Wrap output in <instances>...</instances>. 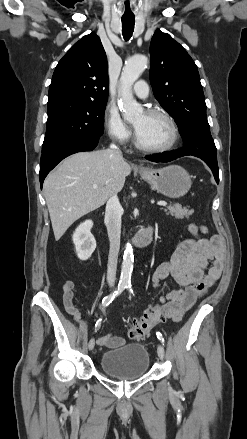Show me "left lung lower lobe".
Instances as JSON below:
<instances>
[{"label":"left lung lower lobe","mask_w":247,"mask_h":439,"mask_svg":"<svg viewBox=\"0 0 247 439\" xmlns=\"http://www.w3.org/2000/svg\"><path fill=\"white\" fill-rule=\"evenodd\" d=\"M186 155L182 150H174V151H169V152H163V153H159V154H154V155H149L146 156L145 158L147 160L153 161V162H170L173 161L179 157H182ZM213 175L215 177L216 182H219V170L215 169L213 170Z\"/></svg>","instance_id":"0a47b994"}]
</instances>
